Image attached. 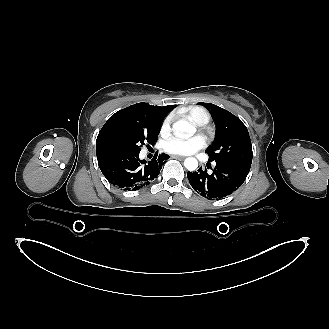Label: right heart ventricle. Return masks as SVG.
<instances>
[{
  "label": "right heart ventricle",
  "instance_id": "e07e8e85",
  "mask_svg": "<svg viewBox=\"0 0 329 329\" xmlns=\"http://www.w3.org/2000/svg\"><path fill=\"white\" fill-rule=\"evenodd\" d=\"M188 117L198 125H205L210 121L209 112L199 106L191 107L187 110Z\"/></svg>",
  "mask_w": 329,
  "mask_h": 329
}]
</instances>
